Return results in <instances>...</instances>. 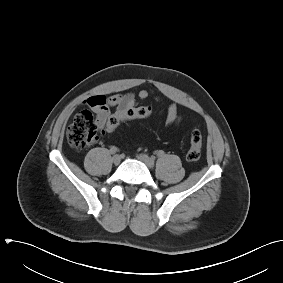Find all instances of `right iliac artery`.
Returning <instances> with one entry per match:
<instances>
[{
  "instance_id": "obj_1",
  "label": "right iliac artery",
  "mask_w": 283,
  "mask_h": 283,
  "mask_svg": "<svg viewBox=\"0 0 283 283\" xmlns=\"http://www.w3.org/2000/svg\"><path fill=\"white\" fill-rule=\"evenodd\" d=\"M117 151H118V149H117L115 146H112V147L110 148V153H111V154H115Z\"/></svg>"
}]
</instances>
